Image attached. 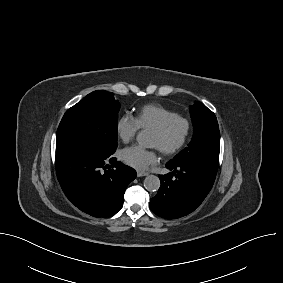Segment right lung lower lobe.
I'll use <instances>...</instances> for the list:
<instances>
[{
  "label": "right lung lower lobe",
  "instance_id": "obj_1",
  "mask_svg": "<svg viewBox=\"0 0 283 283\" xmlns=\"http://www.w3.org/2000/svg\"><path fill=\"white\" fill-rule=\"evenodd\" d=\"M56 173L67 198L93 217L117 213L123 207L126 187L137 175L133 168L117 162L113 153L80 145L56 151Z\"/></svg>",
  "mask_w": 283,
  "mask_h": 283
}]
</instances>
